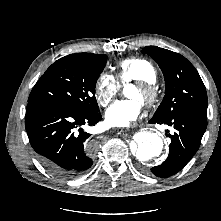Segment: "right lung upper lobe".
Listing matches in <instances>:
<instances>
[{"label":"right lung upper lobe","mask_w":221,"mask_h":221,"mask_svg":"<svg viewBox=\"0 0 221 221\" xmlns=\"http://www.w3.org/2000/svg\"><path fill=\"white\" fill-rule=\"evenodd\" d=\"M79 54H91V53H79Z\"/></svg>","instance_id":"1"}]
</instances>
